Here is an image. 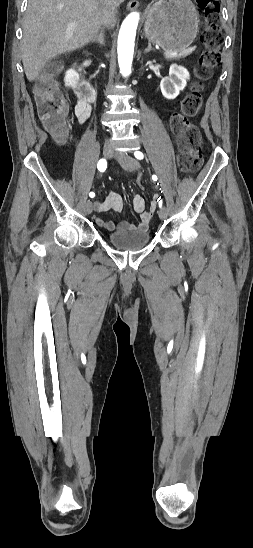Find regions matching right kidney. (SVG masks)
I'll return each instance as SVG.
<instances>
[{
  "instance_id": "1",
  "label": "right kidney",
  "mask_w": 253,
  "mask_h": 548,
  "mask_svg": "<svg viewBox=\"0 0 253 548\" xmlns=\"http://www.w3.org/2000/svg\"><path fill=\"white\" fill-rule=\"evenodd\" d=\"M78 79V73L74 69L67 70L65 74V86L70 87L76 85Z\"/></svg>"
}]
</instances>
